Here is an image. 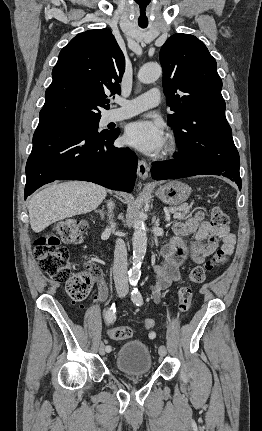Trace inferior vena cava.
<instances>
[{"label": "inferior vena cava", "mask_w": 262, "mask_h": 431, "mask_svg": "<svg viewBox=\"0 0 262 431\" xmlns=\"http://www.w3.org/2000/svg\"><path fill=\"white\" fill-rule=\"evenodd\" d=\"M109 208H113V203L109 202ZM111 227L115 224L111 221ZM113 276L115 286L119 290L128 291V274H127V249L123 240L116 241L114 252Z\"/></svg>", "instance_id": "obj_1"}]
</instances>
